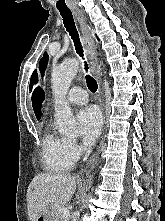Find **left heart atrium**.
I'll return each instance as SVG.
<instances>
[{"label": "left heart atrium", "instance_id": "obj_1", "mask_svg": "<svg viewBox=\"0 0 165 221\" xmlns=\"http://www.w3.org/2000/svg\"><path fill=\"white\" fill-rule=\"evenodd\" d=\"M80 136L85 144H92L99 136L102 128V117L97 108L89 106L77 114Z\"/></svg>", "mask_w": 165, "mask_h": 221}]
</instances>
